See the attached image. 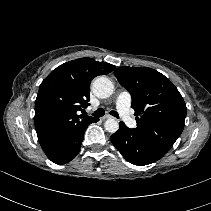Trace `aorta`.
Returning <instances> with one entry per match:
<instances>
[{"label": "aorta", "instance_id": "1", "mask_svg": "<svg viewBox=\"0 0 211 211\" xmlns=\"http://www.w3.org/2000/svg\"><path fill=\"white\" fill-rule=\"evenodd\" d=\"M92 91L98 98H108L114 91V85L109 78L100 76L93 81ZM104 127L109 133H115L119 129V124L114 118H108Z\"/></svg>", "mask_w": 211, "mask_h": 211}]
</instances>
